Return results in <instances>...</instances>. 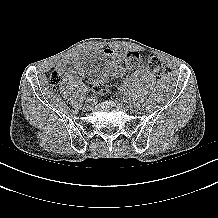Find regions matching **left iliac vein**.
I'll return each mask as SVG.
<instances>
[{
  "instance_id": "1",
  "label": "left iliac vein",
  "mask_w": 218,
  "mask_h": 218,
  "mask_svg": "<svg viewBox=\"0 0 218 218\" xmlns=\"http://www.w3.org/2000/svg\"><path fill=\"white\" fill-rule=\"evenodd\" d=\"M120 101L125 107H129L131 105V100L127 97H122Z\"/></svg>"
}]
</instances>
